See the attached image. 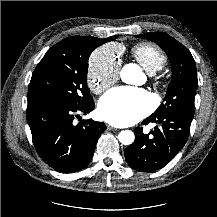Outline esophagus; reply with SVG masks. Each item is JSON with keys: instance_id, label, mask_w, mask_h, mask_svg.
<instances>
[{"instance_id": "esophagus-1", "label": "esophagus", "mask_w": 217, "mask_h": 217, "mask_svg": "<svg viewBox=\"0 0 217 217\" xmlns=\"http://www.w3.org/2000/svg\"><path fill=\"white\" fill-rule=\"evenodd\" d=\"M107 130H110V131H117V129L115 127H112L110 125H107Z\"/></svg>"}]
</instances>
